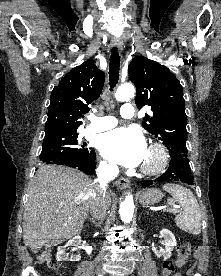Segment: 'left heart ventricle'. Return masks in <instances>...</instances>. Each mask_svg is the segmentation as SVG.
<instances>
[{"instance_id": "obj_1", "label": "left heart ventricle", "mask_w": 221, "mask_h": 276, "mask_svg": "<svg viewBox=\"0 0 221 276\" xmlns=\"http://www.w3.org/2000/svg\"><path fill=\"white\" fill-rule=\"evenodd\" d=\"M152 160H153L152 155L147 151V155L145 157L144 163L151 162Z\"/></svg>"}]
</instances>
